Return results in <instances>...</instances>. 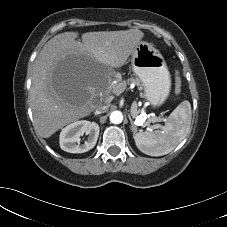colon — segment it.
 <instances>
[{
	"instance_id": "1",
	"label": "colon",
	"mask_w": 227,
	"mask_h": 227,
	"mask_svg": "<svg viewBox=\"0 0 227 227\" xmlns=\"http://www.w3.org/2000/svg\"><path fill=\"white\" fill-rule=\"evenodd\" d=\"M180 88H181V80H180V78L178 77V78H177V81H176V90H177V91H180Z\"/></svg>"
}]
</instances>
